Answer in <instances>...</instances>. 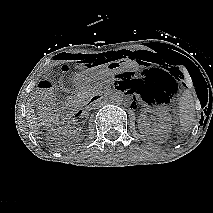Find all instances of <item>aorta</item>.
<instances>
[{
	"label": "aorta",
	"instance_id": "762f6f07",
	"mask_svg": "<svg viewBox=\"0 0 213 213\" xmlns=\"http://www.w3.org/2000/svg\"><path fill=\"white\" fill-rule=\"evenodd\" d=\"M109 100L114 105H121L124 101V94L121 92H113L109 96Z\"/></svg>",
	"mask_w": 213,
	"mask_h": 213
}]
</instances>
